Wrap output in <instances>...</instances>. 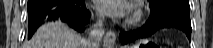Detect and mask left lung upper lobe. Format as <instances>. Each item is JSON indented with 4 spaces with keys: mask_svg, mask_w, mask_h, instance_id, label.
<instances>
[{
    "mask_svg": "<svg viewBox=\"0 0 213 48\" xmlns=\"http://www.w3.org/2000/svg\"><path fill=\"white\" fill-rule=\"evenodd\" d=\"M150 8L157 9L164 5H173L186 10H190L189 0H149Z\"/></svg>",
    "mask_w": 213,
    "mask_h": 48,
    "instance_id": "1",
    "label": "left lung upper lobe"
}]
</instances>
